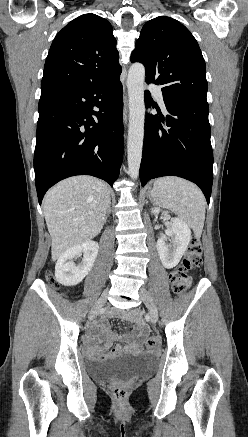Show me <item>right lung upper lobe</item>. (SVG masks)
<instances>
[{
  "label": "right lung upper lobe",
  "mask_w": 248,
  "mask_h": 437,
  "mask_svg": "<svg viewBox=\"0 0 248 437\" xmlns=\"http://www.w3.org/2000/svg\"><path fill=\"white\" fill-rule=\"evenodd\" d=\"M111 24L84 14L55 37L46 58L41 90L96 85L122 71Z\"/></svg>",
  "instance_id": "right-lung-upper-lobe-1"
}]
</instances>
